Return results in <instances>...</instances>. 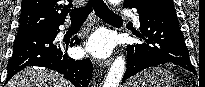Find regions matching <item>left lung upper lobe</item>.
Segmentation results:
<instances>
[{
	"instance_id": "obj_1",
	"label": "left lung upper lobe",
	"mask_w": 205,
	"mask_h": 87,
	"mask_svg": "<svg viewBox=\"0 0 205 87\" xmlns=\"http://www.w3.org/2000/svg\"><path fill=\"white\" fill-rule=\"evenodd\" d=\"M154 1H159V0H125L124 5H129V4L143 5ZM166 1L172 2V0H166Z\"/></svg>"
}]
</instances>
